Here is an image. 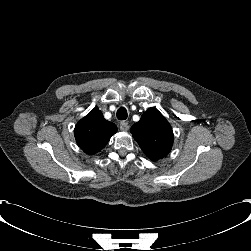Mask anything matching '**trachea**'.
Returning a JSON list of instances; mask_svg holds the SVG:
<instances>
[{"instance_id":"obj_1","label":"trachea","mask_w":251,"mask_h":251,"mask_svg":"<svg viewBox=\"0 0 251 251\" xmlns=\"http://www.w3.org/2000/svg\"><path fill=\"white\" fill-rule=\"evenodd\" d=\"M127 110L124 107H120L117 110L116 116L119 120H126L127 119Z\"/></svg>"}]
</instances>
